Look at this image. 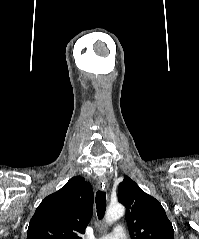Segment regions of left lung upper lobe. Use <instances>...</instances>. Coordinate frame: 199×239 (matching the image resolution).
I'll return each mask as SVG.
<instances>
[{
	"mask_svg": "<svg viewBox=\"0 0 199 239\" xmlns=\"http://www.w3.org/2000/svg\"><path fill=\"white\" fill-rule=\"evenodd\" d=\"M118 200L126 207L131 239H173L174 230L162 205L127 176L119 185Z\"/></svg>",
	"mask_w": 199,
	"mask_h": 239,
	"instance_id": "1",
	"label": "left lung upper lobe"
}]
</instances>
